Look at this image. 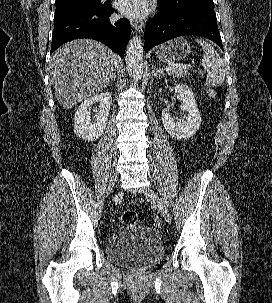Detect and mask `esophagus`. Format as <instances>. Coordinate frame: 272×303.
Wrapping results in <instances>:
<instances>
[{
    "label": "esophagus",
    "instance_id": "34e87169",
    "mask_svg": "<svg viewBox=\"0 0 272 303\" xmlns=\"http://www.w3.org/2000/svg\"><path fill=\"white\" fill-rule=\"evenodd\" d=\"M130 24L137 32H142L144 28V22L140 20L130 19Z\"/></svg>",
    "mask_w": 272,
    "mask_h": 303
}]
</instances>
